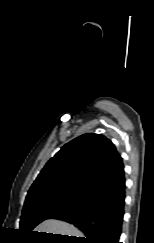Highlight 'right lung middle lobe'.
<instances>
[{
	"label": "right lung middle lobe",
	"mask_w": 154,
	"mask_h": 243,
	"mask_svg": "<svg viewBox=\"0 0 154 243\" xmlns=\"http://www.w3.org/2000/svg\"><path fill=\"white\" fill-rule=\"evenodd\" d=\"M85 202L86 199L66 195H50L29 200L23 207L20 231L22 234H30L40 222Z\"/></svg>",
	"instance_id": "right-lung-middle-lobe-1"
}]
</instances>
